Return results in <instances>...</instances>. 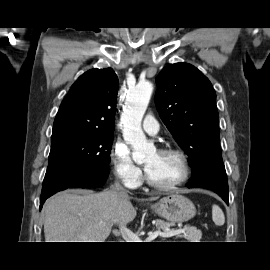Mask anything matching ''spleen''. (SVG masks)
<instances>
[{"instance_id": "1", "label": "spleen", "mask_w": 270, "mask_h": 270, "mask_svg": "<svg viewBox=\"0 0 270 270\" xmlns=\"http://www.w3.org/2000/svg\"><path fill=\"white\" fill-rule=\"evenodd\" d=\"M212 219L217 226H222L225 223V216L219 206H212Z\"/></svg>"}]
</instances>
